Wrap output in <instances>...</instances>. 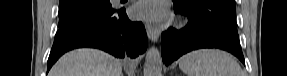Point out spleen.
<instances>
[{
    "mask_svg": "<svg viewBox=\"0 0 287 76\" xmlns=\"http://www.w3.org/2000/svg\"><path fill=\"white\" fill-rule=\"evenodd\" d=\"M179 67L187 76H243L240 65L229 53L214 49L187 53Z\"/></svg>",
    "mask_w": 287,
    "mask_h": 76,
    "instance_id": "3e777b00",
    "label": "spleen"
}]
</instances>
